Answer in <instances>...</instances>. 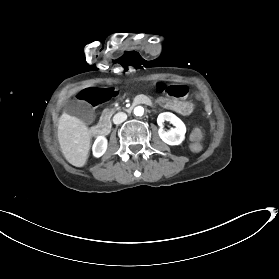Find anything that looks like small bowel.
<instances>
[{
    "instance_id": "small-bowel-1",
    "label": "small bowel",
    "mask_w": 279,
    "mask_h": 279,
    "mask_svg": "<svg viewBox=\"0 0 279 279\" xmlns=\"http://www.w3.org/2000/svg\"><path fill=\"white\" fill-rule=\"evenodd\" d=\"M158 89L174 99H183L189 93V87L183 83L159 81L157 83Z\"/></svg>"
}]
</instances>
